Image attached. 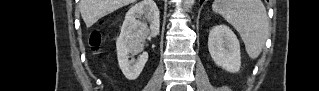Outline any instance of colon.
Returning <instances> with one entry per match:
<instances>
[{"mask_svg": "<svg viewBox=\"0 0 319 91\" xmlns=\"http://www.w3.org/2000/svg\"><path fill=\"white\" fill-rule=\"evenodd\" d=\"M101 33L96 30V31H93L91 34H90V37H89V44L91 46V48L93 50H97L99 48V45L101 43Z\"/></svg>", "mask_w": 319, "mask_h": 91, "instance_id": "1", "label": "colon"}]
</instances>
